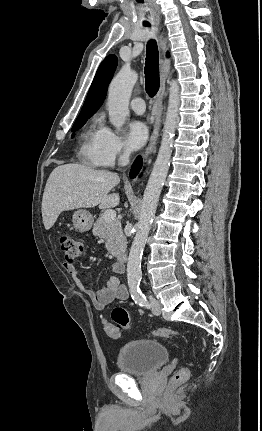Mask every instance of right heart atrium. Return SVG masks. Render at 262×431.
Here are the masks:
<instances>
[{
    "label": "right heart atrium",
    "instance_id": "d8ad5b80",
    "mask_svg": "<svg viewBox=\"0 0 262 431\" xmlns=\"http://www.w3.org/2000/svg\"><path fill=\"white\" fill-rule=\"evenodd\" d=\"M98 151L100 163L105 166H110L117 159H124L130 154L120 136L106 125L101 126Z\"/></svg>",
    "mask_w": 262,
    "mask_h": 431
}]
</instances>
